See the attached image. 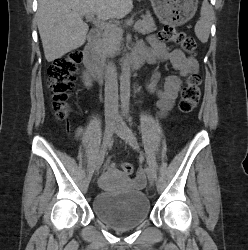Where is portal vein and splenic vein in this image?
<instances>
[{
	"instance_id": "portal-vein-and-splenic-vein-1",
	"label": "portal vein and splenic vein",
	"mask_w": 248,
	"mask_h": 250,
	"mask_svg": "<svg viewBox=\"0 0 248 250\" xmlns=\"http://www.w3.org/2000/svg\"><path fill=\"white\" fill-rule=\"evenodd\" d=\"M86 19L89 20V21H92L96 26L101 27V28H103V29L117 28V27L114 26V25H109V24H107V23L104 21V19H102V18H100V17L95 18V17H94V14H88V15H86ZM137 25H138V23L136 22L134 28H136Z\"/></svg>"
}]
</instances>
